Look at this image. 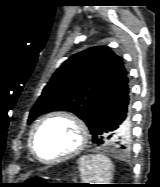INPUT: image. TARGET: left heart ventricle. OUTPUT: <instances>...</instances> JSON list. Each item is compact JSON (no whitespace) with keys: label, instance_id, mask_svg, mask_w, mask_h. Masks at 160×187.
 <instances>
[{"label":"left heart ventricle","instance_id":"1","mask_svg":"<svg viewBox=\"0 0 160 187\" xmlns=\"http://www.w3.org/2000/svg\"><path fill=\"white\" fill-rule=\"evenodd\" d=\"M79 142L76 126L62 117L46 121L36 137V150L46 160L55 159L73 150Z\"/></svg>","mask_w":160,"mask_h":187}]
</instances>
